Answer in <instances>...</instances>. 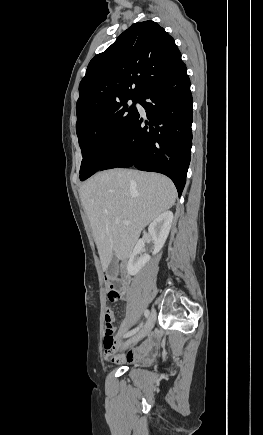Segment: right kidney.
I'll list each match as a JSON object with an SVG mask.
<instances>
[{"instance_id":"1","label":"right kidney","mask_w":263,"mask_h":435,"mask_svg":"<svg viewBox=\"0 0 263 435\" xmlns=\"http://www.w3.org/2000/svg\"><path fill=\"white\" fill-rule=\"evenodd\" d=\"M173 222V213L171 211H165L161 213L153 222L149 225L148 231L154 242L153 255H156L163 247L171 225ZM145 241L139 240L130 255L127 271L130 275H136L150 260V256L144 254Z\"/></svg>"}]
</instances>
